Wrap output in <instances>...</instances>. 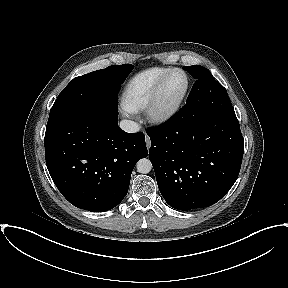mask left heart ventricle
I'll return each mask as SVG.
<instances>
[{"instance_id":"b2bd125f","label":"left heart ventricle","mask_w":288,"mask_h":288,"mask_svg":"<svg viewBox=\"0 0 288 288\" xmlns=\"http://www.w3.org/2000/svg\"><path fill=\"white\" fill-rule=\"evenodd\" d=\"M185 86V78L180 72L172 73L166 80L160 100L163 109L172 106L180 97Z\"/></svg>"}]
</instances>
